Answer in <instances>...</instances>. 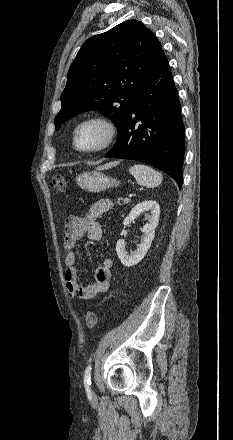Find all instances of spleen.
I'll return each instance as SVG.
<instances>
[{
    "instance_id": "spleen-1",
    "label": "spleen",
    "mask_w": 233,
    "mask_h": 440,
    "mask_svg": "<svg viewBox=\"0 0 233 440\" xmlns=\"http://www.w3.org/2000/svg\"><path fill=\"white\" fill-rule=\"evenodd\" d=\"M130 174L141 186L157 187L162 182V175L152 167L144 164H135L129 169Z\"/></svg>"
}]
</instances>
